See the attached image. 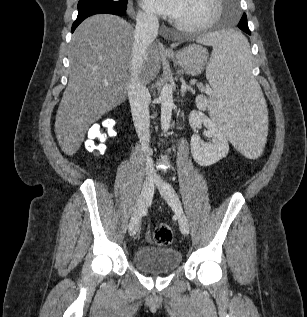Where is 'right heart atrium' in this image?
<instances>
[{"label": "right heart atrium", "mask_w": 307, "mask_h": 317, "mask_svg": "<svg viewBox=\"0 0 307 317\" xmlns=\"http://www.w3.org/2000/svg\"><path fill=\"white\" fill-rule=\"evenodd\" d=\"M138 20L142 25L153 26L156 22V17L150 13L140 12L138 14Z\"/></svg>", "instance_id": "right-heart-atrium-1"}]
</instances>
